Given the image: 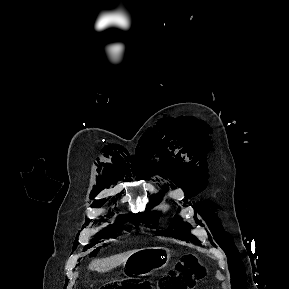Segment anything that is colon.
Returning <instances> with one entry per match:
<instances>
[{
	"label": "colon",
	"instance_id": "colon-1",
	"mask_svg": "<svg viewBox=\"0 0 289 289\" xmlns=\"http://www.w3.org/2000/svg\"><path fill=\"white\" fill-rule=\"evenodd\" d=\"M205 269L196 262L195 256L187 254L173 273L162 279L157 289H193L205 277ZM102 289H154L147 281L125 280L112 282Z\"/></svg>",
	"mask_w": 289,
	"mask_h": 289
}]
</instances>
